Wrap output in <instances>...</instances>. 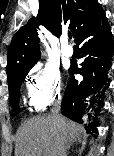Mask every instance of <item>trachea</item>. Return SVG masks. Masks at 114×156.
I'll list each match as a JSON object with an SVG mask.
<instances>
[{"label":"trachea","mask_w":114,"mask_h":156,"mask_svg":"<svg viewBox=\"0 0 114 156\" xmlns=\"http://www.w3.org/2000/svg\"><path fill=\"white\" fill-rule=\"evenodd\" d=\"M68 37L71 39L72 38V35H71V33H68Z\"/></svg>","instance_id":"1"}]
</instances>
